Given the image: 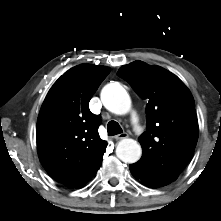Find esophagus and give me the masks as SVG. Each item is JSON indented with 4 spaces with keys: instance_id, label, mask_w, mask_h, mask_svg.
<instances>
[{
    "instance_id": "34e87169",
    "label": "esophagus",
    "mask_w": 221,
    "mask_h": 221,
    "mask_svg": "<svg viewBox=\"0 0 221 221\" xmlns=\"http://www.w3.org/2000/svg\"><path fill=\"white\" fill-rule=\"evenodd\" d=\"M114 138H115L116 140L125 139V138H128V134H127L126 132H124V133H121V134H119V135H116Z\"/></svg>"
}]
</instances>
